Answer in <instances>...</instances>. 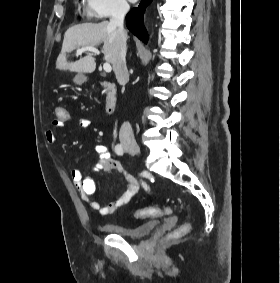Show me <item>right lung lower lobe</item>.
Listing matches in <instances>:
<instances>
[{
  "mask_svg": "<svg viewBox=\"0 0 280 283\" xmlns=\"http://www.w3.org/2000/svg\"><path fill=\"white\" fill-rule=\"evenodd\" d=\"M151 0H143L137 8H133L126 15L127 28L141 41L147 43L148 36L143 24V14Z\"/></svg>",
  "mask_w": 280,
  "mask_h": 283,
  "instance_id": "98d812e1",
  "label": "right lung lower lobe"
}]
</instances>
